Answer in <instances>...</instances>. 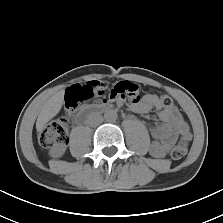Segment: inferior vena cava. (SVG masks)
<instances>
[{
  "label": "inferior vena cava",
  "instance_id": "inferior-vena-cava-1",
  "mask_svg": "<svg viewBox=\"0 0 223 223\" xmlns=\"http://www.w3.org/2000/svg\"><path fill=\"white\" fill-rule=\"evenodd\" d=\"M103 122V117L99 114H96L92 117V119L90 120V125L91 126H98L99 124H101Z\"/></svg>",
  "mask_w": 223,
  "mask_h": 223
}]
</instances>
